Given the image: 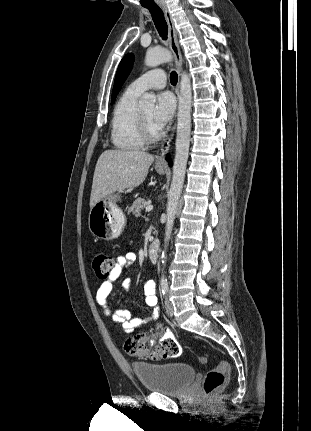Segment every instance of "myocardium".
Instances as JSON below:
<instances>
[{
	"label": "myocardium",
	"instance_id": "f54148a6",
	"mask_svg": "<svg viewBox=\"0 0 311 431\" xmlns=\"http://www.w3.org/2000/svg\"><path fill=\"white\" fill-rule=\"evenodd\" d=\"M137 125H138L139 138L144 144H154L160 141V139L163 137L162 132L158 134L152 133L150 126L141 111H139L138 113Z\"/></svg>",
	"mask_w": 311,
	"mask_h": 431
}]
</instances>
